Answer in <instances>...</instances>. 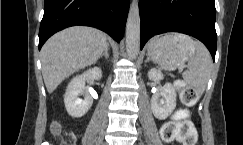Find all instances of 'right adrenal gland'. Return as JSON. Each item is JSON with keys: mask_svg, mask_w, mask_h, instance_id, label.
Here are the masks:
<instances>
[{"mask_svg": "<svg viewBox=\"0 0 243 145\" xmlns=\"http://www.w3.org/2000/svg\"><path fill=\"white\" fill-rule=\"evenodd\" d=\"M109 44L106 45V48L104 50V53L100 56V58L105 57V59H109Z\"/></svg>", "mask_w": 243, "mask_h": 145, "instance_id": "2a0ac1e0", "label": "right adrenal gland"}]
</instances>
